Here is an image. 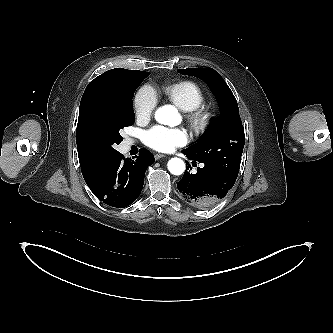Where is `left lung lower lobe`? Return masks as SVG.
I'll list each match as a JSON object with an SVG mask.
<instances>
[{
    "label": "left lung lower lobe",
    "mask_w": 333,
    "mask_h": 333,
    "mask_svg": "<svg viewBox=\"0 0 333 333\" xmlns=\"http://www.w3.org/2000/svg\"><path fill=\"white\" fill-rule=\"evenodd\" d=\"M182 153L196 164L197 160L185 150ZM234 183L235 181L204 163L203 168H197L196 174L185 171L177 187L184 202L198 209H210L227 195Z\"/></svg>",
    "instance_id": "obj_1"
}]
</instances>
